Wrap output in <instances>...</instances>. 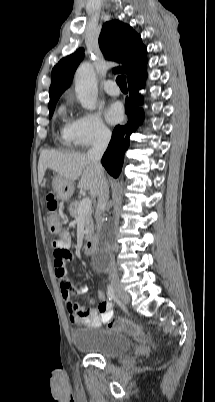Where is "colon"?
Returning a JSON list of instances; mask_svg holds the SVG:
<instances>
[{
	"instance_id": "5ec220e1",
	"label": "colon",
	"mask_w": 215,
	"mask_h": 402,
	"mask_svg": "<svg viewBox=\"0 0 215 402\" xmlns=\"http://www.w3.org/2000/svg\"><path fill=\"white\" fill-rule=\"evenodd\" d=\"M46 207L48 211V228L52 233H57L60 229L59 219L57 216L58 203L52 194H48L46 197ZM109 327L112 330L123 331L131 336L140 337L143 335V329L139 325L123 318L112 319L109 322Z\"/></svg>"
}]
</instances>
